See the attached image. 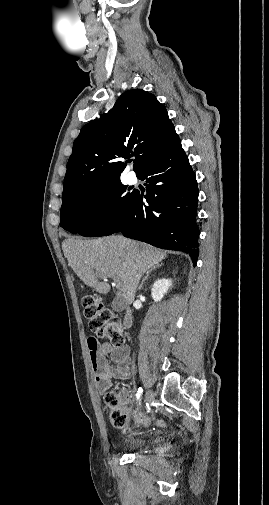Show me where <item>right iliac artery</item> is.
Returning a JSON list of instances; mask_svg holds the SVG:
<instances>
[{
  "mask_svg": "<svg viewBox=\"0 0 269 505\" xmlns=\"http://www.w3.org/2000/svg\"><path fill=\"white\" fill-rule=\"evenodd\" d=\"M143 395V389L142 388H139L138 389V392L136 394V398H137V401L139 402V405H140V401H141V397Z\"/></svg>",
  "mask_w": 269,
  "mask_h": 505,
  "instance_id": "82829eb1",
  "label": "right iliac artery"
}]
</instances>
